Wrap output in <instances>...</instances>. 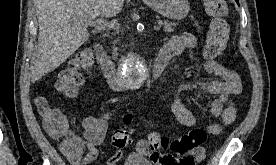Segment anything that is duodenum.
Instances as JSON below:
<instances>
[{
	"instance_id": "1",
	"label": "duodenum",
	"mask_w": 276,
	"mask_h": 165,
	"mask_svg": "<svg viewBox=\"0 0 276 165\" xmlns=\"http://www.w3.org/2000/svg\"><path fill=\"white\" fill-rule=\"evenodd\" d=\"M94 51L98 66L109 86L114 90L124 89L126 87L125 80L115 64L108 57L104 46L102 44H96ZM167 64L168 59L162 55H158L150 66V76L152 78H158L165 70Z\"/></svg>"
}]
</instances>
